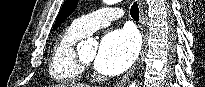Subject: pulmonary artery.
<instances>
[{"mask_svg": "<svg viewBox=\"0 0 205 87\" xmlns=\"http://www.w3.org/2000/svg\"><path fill=\"white\" fill-rule=\"evenodd\" d=\"M121 17L122 12L119 8H103L74 20L71 26L81 34L87 36L97 29L108 26L114 20Z\"/></svg>", "mask_w": 205, "mask_h": 87, "instance_id": "1", "label": "pulmonary artery"}]
</instances>
